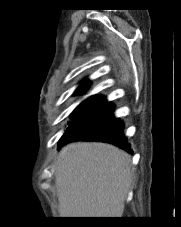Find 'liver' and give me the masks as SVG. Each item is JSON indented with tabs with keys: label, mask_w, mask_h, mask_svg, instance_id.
I'll return each mask as SVG.
<instances>
[{
	"label": "liver",
	"mask_w": 181,
	"mask_h": 227,
	"mask_svg": "<svg viewBox=\"0 0 181 227\" xmlns=\"http://www.w3.org/2000/svg\"><path fill=\"white\" fill-rule=\"evenodd\" d=\"M56 162L61 217H121L132 182L129 154L110 144L75 142Z\"/></svg>",
	"instance_id": "6515ba94"
}]
</instances>
